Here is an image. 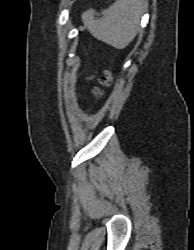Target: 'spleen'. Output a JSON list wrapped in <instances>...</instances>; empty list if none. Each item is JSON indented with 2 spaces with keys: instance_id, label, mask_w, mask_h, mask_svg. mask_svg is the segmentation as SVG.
Instances as JSON below:
<instances>
[{
  "instance_id": "3e777b00",
  "label": "spleen",
  "mask_w": 194,
  "mask_h": 250,
  "mask_svg": "<svg viewBox=\"0 0 194 250\" xmlns=\"http://www.w3.org/2000/svg\"><path fill=\"white\" fill-rule=\"evenodd\" d=\"M143 14L142 0H117L100 14L93 9L82 15L84 26L93 37L123 49L135 38Z\"/></svg>"
}]
</instances>
